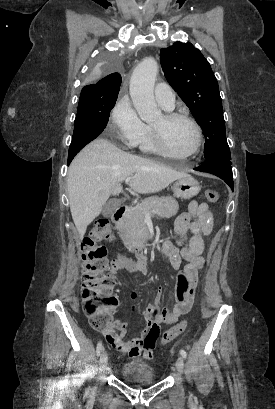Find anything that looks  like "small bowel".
<instances>
[{
    "label": "small bowel",
    "instance_id": "c3829d8e",
    "mask_svg": "<svg viewBox=\"0 0 275 409\" xmlns=\"http://www.w3.org/2000/svg\"><path fill=\"white\" fill-rule=\"evenodd\" d=\"M212 226V214L208 204L197 200L192 201L189 204L188 211L177 218L175 229L178 247H168L167 253L173 269H179L181 258L187 261V265L177 276L176 303L170 308H160L157 304L161 300L162 287H158L154 298L155 305H149L142 314L149 325L145 327L146 333L140 337H124L122 334L126 332L125 320H120L119 324L114 327L115 333L109 330L103 331L104 340L113 351H131L128 353L129 359H153L157 353L159 343L157 334H160L162 330L159 322L175 323L181 315L191 309L194 303L196 288L199 283V270L204 264L202 257L204 251L203 235H209ZM122 269L143 275L146 272V262L144 259H127L126 263L113 267L114 271ZM114 281L119 285L125 280L118 276ZM130 295L132 298H136V290L131 288ZM134 310L135 307L132 306L131 311Z\"/></svg>",
    "mask_w": 275,
    "mask_h": 409
}]
</instances>
